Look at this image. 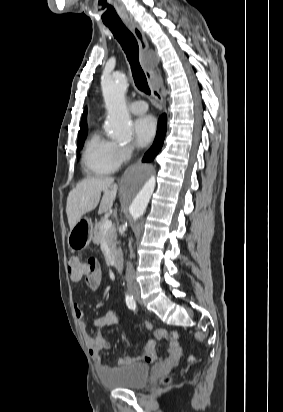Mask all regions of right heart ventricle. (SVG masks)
Wrapping results in <instances>:
<instances>
[{
    "label": "right heart ventricle",
    "mask_w": 283,
    "mask_h": 412,
    "mask_svg": "<svg viewBox=\"0 0 283 412\" xmlns=\"http://www.w3.org/2000/svg\"><path fill=\"white\" fill-rule=\"evenodd\" d=\"M82 162L86 172L91 175L112 174L121 165L118 144L94 132L85 145Z\"/></svg>",
    "instance_id": "1"
}]
</instances>
